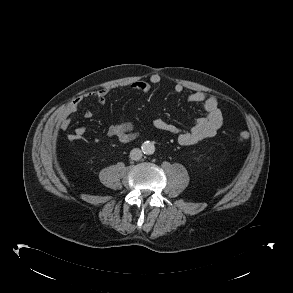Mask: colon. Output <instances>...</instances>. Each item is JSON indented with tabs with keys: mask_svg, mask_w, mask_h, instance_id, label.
<instances>
[{
	"mask_svg": "<svg viewBox=\"0 0 293 293\" xmlns=\"http://www.w3.org/2000/svg\"><path fill=\"white\" fill-rule=\"evenodd\" d=\"M248 138H249V132H248V131H241V132L238 134L237 140H238L239 142H244V141H246Z\"/></svg>",
	"mask_w": 293,
	"mask_h": 293,
	"instance_id": "1",
	"label": "colon"
}]
</instances>
